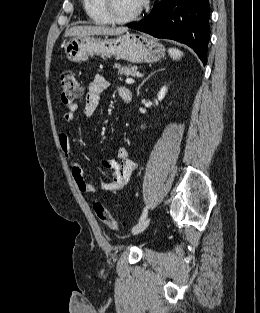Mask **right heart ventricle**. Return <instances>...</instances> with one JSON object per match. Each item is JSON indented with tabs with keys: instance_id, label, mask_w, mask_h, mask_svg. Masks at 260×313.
<instances>
[{
	"instance_id": "obj_1",
	"label": "right heart ventricle",
	"mask_w": 260,
	"mask_h": 313,
	"mask_svg": "<svg viewBox=\"0 0 260 313\" xmlns=\"http://www.w3.org/2000/svg\"><path fill=\"white\" fill-rule=\"evenodd\" d=\"M82 5L87 16L93 23L99 25L110 23V20L102 9L101 0H82Z\"/></svg>"
}]
</instances>
